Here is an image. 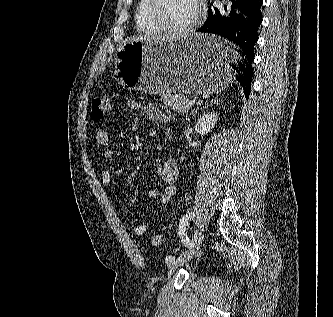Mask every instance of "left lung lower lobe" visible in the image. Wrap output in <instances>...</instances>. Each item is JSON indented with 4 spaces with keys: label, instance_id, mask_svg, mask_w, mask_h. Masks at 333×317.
I'll use <instances>...</instances> for the list:
<instances>
[{
    "label": "left lung lower lobe",
    "instance_id": "0a47b994",
    "mask_svg": "<svg viewBox=\"0 0 333 317\" xmlns=\"http://www.w3.org/2000/svg\"><path fill=\"white\" fill-rule=\"evenodd\" d=\"M224 9L209 8L208 17L198 32L220 35L240 50L221 49L219 55L233 69V76L239 81L248 99L251 90L254 45L258 41V28L262 23L263 0H231ZM233 51L235 54H233Z\"/></svg>",
    "mask_w": 333,
    "mask_h": 317
}]
</instances>
